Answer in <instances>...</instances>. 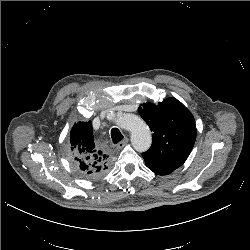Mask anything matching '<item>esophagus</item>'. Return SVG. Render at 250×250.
Segmentation results:
<instances>
[{"label":"esophagus","mask_w":250,"mask_h":250,"mask_svg":"<svg viewBox=\"0 0 250 250\" xmlns=\"http://www.w3.org/2000/svg\"><path fill=\"white\" fill-rule=\"evenodd\" d=\"M127 142H128V138L126 137V138H124L121 142H119V143L117 144V148H118V149H122V148L127 144Z\"/></svg>","instance_id":"34e87169"}]
</instances>
